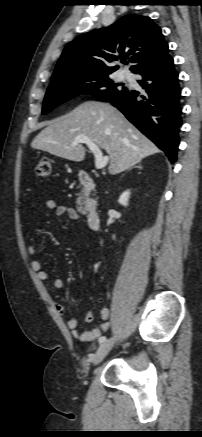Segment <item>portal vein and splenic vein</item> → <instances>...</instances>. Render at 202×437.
I'll return each mask as SVG.
<instances>
[{
	"label": "portal vein and splenic vein",
	"instance_id": "18ae733b",
	"mask_svg": "<svg viewBox=\"0 0 202 437\" xmlns=\"http://www.w3.org/2000/svg\"><path fill=\"white\" fill-rule=\"evenodd\" d=\"M82 143L86 144L89 147V149L91 150V152L94 154L96 169H102L108 164L109 157L103 156L99 147L94 142H92L90 139H88L86 136H84V135L77 136L74 139L72 146H75L77 144H82Z\"/></svg>",
	"mask_w": 202,
	"mask_h": 437
}]
</instances>
